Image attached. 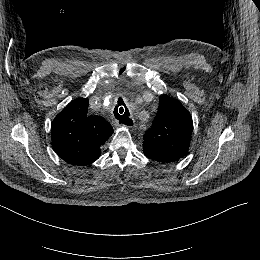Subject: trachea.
<instances>
[{
	"label": "trachea",
	"instance_id": "3493384b",
	"mask_svg": "<svg viewBox=\"0 0 260 260\" xmlns=\"http://www.w3.org/2000/svg\"><path fill=\"white\" fill-rule=\"evenodd\" d=\"M114 117L119 120L120 124H126L128 120H130V112L126 105H123L121 107L116 106L114 108Z\"/></svg>",
	"mask_w": 260,
	"mask_h": 260
}]
</instances>
